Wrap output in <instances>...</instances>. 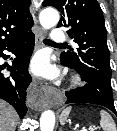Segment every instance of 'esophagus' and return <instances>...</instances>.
I'll return each mask as SVG.
<instances>
[{
  "instance_id": "34e87169",
  "label": "esophagus",
  "mask_w": 117,
  "mask_h": 131,
  "mask_svg": "<svg viewBox=\"0 0 117 131\" xmlns=\"http://www.w3.org/2000/svg\"><path fill=\"white\" fill-rule=\"evenodd\" d=\"M44 39V31L40 30L36 34V46L40 47ZM57 94L55 88L50 86H38L37 81H33L32 89L29 93V104L36 110H42L50 105L51 98Z\"/></svg>"
}]
</instances>
